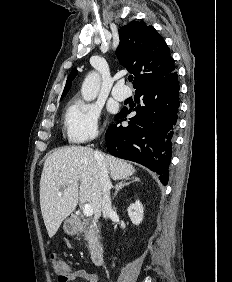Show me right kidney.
<instances>
[{"label":"right kidney","mask_w":232,"mask_h":282,"mask_svg":"<svg viewBox=\"0 0 232 282\" xmlns=\"http://www.w3.org/2000/svg\"><path fill=\"white\" fill-rule=\"evenodd\" d=\"M128 216L134 225H139L143 220L144 209L140 201H136L128 208Z\"/></svg>","instance_id":"right-kidney-1"}]
</instances>
